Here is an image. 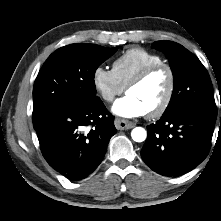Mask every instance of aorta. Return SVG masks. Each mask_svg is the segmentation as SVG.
<instances>
[{"label":"aorta","instance_id":"aorta-1","mask_svg":"<svg viewBox=\"0 0 221 221\" xmlns=\"http://www.w3.org/2000/svg\"><path fill=\"white\" fill-rule=\"evenodd\" d=\"M131 137L135 142H143L147 137V132L142 127H135L131 132Z\"/></svg>","mask_w":221,"mask_h":221}]
</instances>
